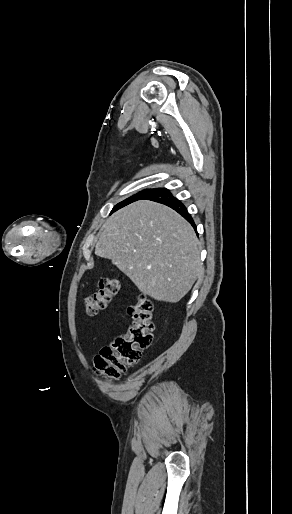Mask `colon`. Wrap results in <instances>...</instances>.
Wrapping results in <instances>:
<instances>
[{
    "label": "colon",
    "instance_id": "5ec220e1",
    "mask_svg": "<svg viewBox=\"0 0 292 514\" xmlns=\"http://www.w3.org/2000/svg\"><path fill=\"white\" fill-rule=\"evenodd\" d=\"M99 289L85 299L89 315H98L117 298L120 291L119 280L115 277L102 278ZM132 319L125 333L116 337L94 357V367L98 373L111 379L121 377L125 371L139 362L142 352L148 349L154 337L153 308L144 295L129 306Z\"/></svg>",
    "mask_w": 292,
    "mask_h": 514
}]
</instances>
